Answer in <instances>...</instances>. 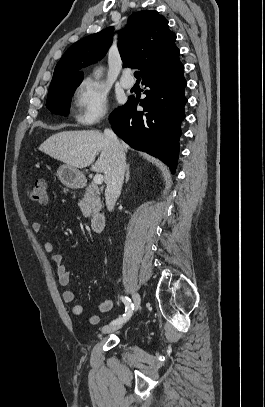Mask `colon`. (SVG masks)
<instances>
[{
	"instance_id": "colon-1",
	"label": "colon",
	"mask_w": 265,
	"mask_h": 407,
	"mask_svg": "<svg viewBox=\"0 0 265 407\" xmlns=\"http://www.w3.org/2000/svg\"><path fill=\"white\" fill-rule=\"evenodd\" d=\"M31 200L39 203H46L48 200L47 182L44 179H37L30 190Z\"/></svg>"
}]
</instances>
